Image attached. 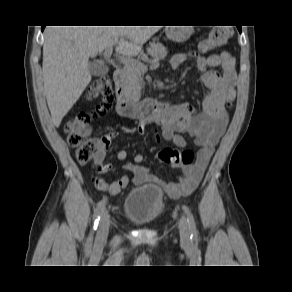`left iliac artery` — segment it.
<instances>
[{"instance_id": "44dca946", "label": "left iliac artery", "mask_w": 292, "mask_h": 292, "mask_svg": "<svg viewBox=\"0 0 292 292\" xmlns=\"http://www.w3.org/2000/svg\"><path fill=\"white\" fill-rule=\"evenodd\" d=\"M183 208H184V211L187 215V221H188L190 232H191V239L193 241H197L196 224H195V220L193 218V215L191 214L188 207L184 206Z\"/></svg>"}]
</instances>
